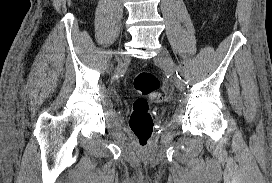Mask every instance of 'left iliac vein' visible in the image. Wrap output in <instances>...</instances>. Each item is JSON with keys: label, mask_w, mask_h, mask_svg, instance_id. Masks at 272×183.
Returning <instances> with one entry per match:
<instances>
[{"label": "left iliac vein", "mask_w": 272, "mask_h": 183, "mask_svg": "<svg viewBox=\"0 0 272 183\" xmlns=\"http://www.w3.org/2000/svg\"><path fill=\"white\" fill-rule=\"evenodd\" d=\"M155 62L162 65L173 76V81L177 88L181 89L184 87L183 81L175 75L176 67L169 51L165 47H161L158 55L155 57Z\"/></svg>", "instance_id": "obj_1"}]
</instances>
